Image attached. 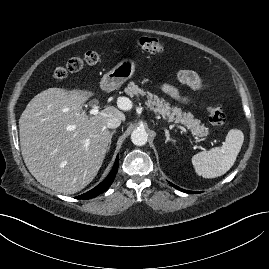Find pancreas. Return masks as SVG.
<instances>
[{"instance_id": "pancreas-1", "label": "pancreas", "mask_w": 269, "mask_h": 269, "mask_svg": "<svg viewBox=\"0 0 269 269\" xmlns=\"http://www.w3.org/2000/svg\"><path fill=\"white\" fill-rule=\"evenodd\" d=\"M125 93L130 97L138 95L146 97L147 107L155 114L161 115L169 122L175 121L176 123L183 124L195 136L204 137L208 134L207 128L201 124L200 120L194 118L193 114L182 112L178 107L170 106V104L164 99L159 98L157 95H154L150 92H145L143 89H140L134 82H130L128 84V86L125 88Z\"/></svg>"}]
</instances>
